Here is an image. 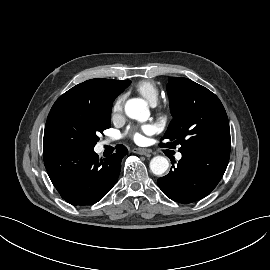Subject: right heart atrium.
<instances>
[{
  "instance_id": "right-heart-atrium-1",
  "label": "right heart atrium",
  "mask_w": 270,
  "mask_h": 270,
  "mask_svg": "<svg viewBox=\"0 0 270 270\" xmlns=\"http://www.w3.org/2000/svg\"><path fill=\"white\" fill-rule=\"evenodd\" d=\"M124 101L125 95H120L113 102L111 108V115L113 119H117L122 116Z\"/></svg>"
}]
</instances>
